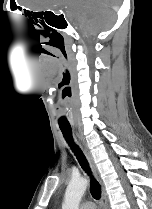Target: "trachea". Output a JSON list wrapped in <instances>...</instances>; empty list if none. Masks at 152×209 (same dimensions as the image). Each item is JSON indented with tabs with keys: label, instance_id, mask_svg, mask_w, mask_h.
Listing matches in <instances>:
<instances>
[{
	"label": "trachea",
	"instance_id": "3493384b",
	"mask_svg": "<svg viewBox=\"0 0 152 209\" xmlns=\"http://www.w3.org/2000/svg\"><path fill=\"white\" fill-rule=\"evenodd\" d=\"M63 136L65 138V140L67 141V143H69V145L71 146L72 151L74 152L76 158L78 159L81 167L83 168V170L88 174L91 175V182H90V192L93 196L94 199H100L101 197V186L100 184L96 181V179H94L92 177L91 174V170L89 167V164L84 156V154L82 153L81 149L74 144L73 142V138H72V130L70 127H60Z\"/></svg>",
	"mask_w": 152,
	"mask_h": 209
}]
</instances>
